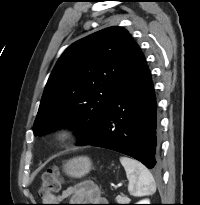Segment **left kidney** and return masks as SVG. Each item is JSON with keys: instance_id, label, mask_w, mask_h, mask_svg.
<instances>
[{"instance_id": "1", "label": "left kidney", "mask_w": 200, "mask_h": 205, "mask_svg": "<svg viewBox=\"0 0 200 205\" xmlns=\"http://www.w3.org/2000/svg\"><path fill=\"white\" fill-rule=\"evenodd\" d=\"M149 201H150L149 199H144V200H141L140 202H137V204H150Z\"/></svg>"}]
</instances>
